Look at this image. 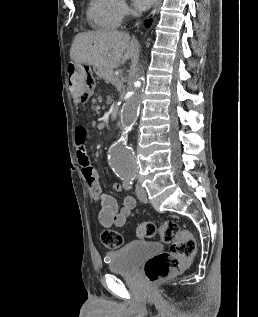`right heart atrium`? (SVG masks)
<instances>
[{"label": "right heart atrium", "mask_w": 258, "mask_h": 317, "mask_svg": "<svg viewBox=\"0 0 258 317\" xmlns=\"http://www.w3.org/2000/svg\"><path fill=\"white\" fill-rule=\"evenodd\" d=\"M120 14L122 19L126 18L130 14V7L125 1H122L120 4Z\"/></svg>", "instance_id": "obj_1"}]
</instances>
